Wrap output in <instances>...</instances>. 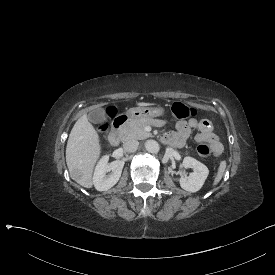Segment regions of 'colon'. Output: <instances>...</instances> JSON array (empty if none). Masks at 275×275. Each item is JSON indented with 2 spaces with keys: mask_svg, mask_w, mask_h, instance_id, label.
Masks as SVG:
<instances>
[{
  "mask_svg": "<svg viewBox=\"0 0 275 275\" xmlns=\"http://www.w3.org/2000/svg\"><path fill=\"white\" fill-rule=\"evenodd\" d=\"M172 115L175 118L185 119L191 118L195 115V110L189 105L182 104L181 102H174L171 106ZM109 118H113L115 115L114 110L109 109L107 112ZM197 153L203 158H207L211 155V147L207 143H201L197 146Z\"/></svg>",
  "mask_w": 275,
  "mask_h": 275,
  "instance_id": "colon-1",
  "label": "colon"
}]
</instances>
